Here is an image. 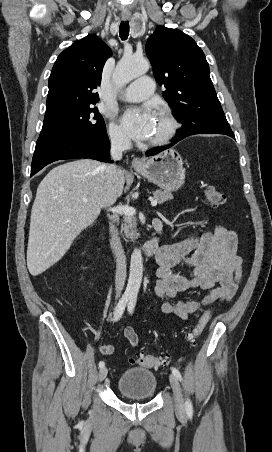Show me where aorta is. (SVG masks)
<instances>
[{"label":"aorta","mask_w":272,"mask_h":452,"mask_svg":"<svg viewBox=\"0 0 272 452\" xmlns=\"http://www.w3.org/2000/svg\"><path fill=\"white\" fill-rule=\"evenodd\" d=\"M149 69V63L144 58H137L131 55H124L119 61L115 73L114 82L121 87L129 83L134 78L145 74ZM143 275V258L140 249H134L131 254L130 272L126 293L137 296Z\"/></svg>","instance_id":"obj_1"}]
</instances>
